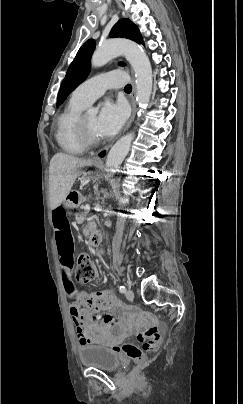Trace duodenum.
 Returning a JSON list of instances; mask_svg holds the SVG:
<instances>
[{
  "label": "duodenum",
  "instance_id": "obj_1",
  "mask_svg": "<svg viewBox=\"0 0 243 404\" xmlns=\"http://www.w3.org/2000/svg\"><path fill=\"white\" fill-rule=\"evenodd\" d=\"M79 194L76 191H70L65 197V205L67 207H74L78 203ZM101 234L97 230H92L89 237V244L91 247L97 246L101 242Z\"/></svg>",
  "mask_w": 243,
  "mask_h": 404
}]
</instances>
